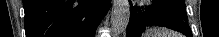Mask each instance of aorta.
<instances>
[{"label": "aorta", "instance_id": "aorta-1", "mask_svg": "<svg viewBox=\"0 0 219 37\" xmlns=\"http://www.w3.org/2000/svg\"><path fill=\"white\" fill-rule=\"evenodd\" d=\"M130 19L128 0H115L111 12V29L114 36L126 31Z\"/></svg>", "mask_w": 219, "mask_h": 37}]
</instances>
